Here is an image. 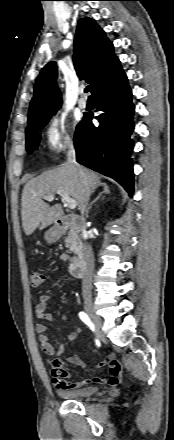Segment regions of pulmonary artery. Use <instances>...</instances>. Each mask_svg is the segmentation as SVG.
Returning a JSON list of instances; mask_svg holds the SVG:
<instances>
[{
  "label": "pulmonary artery",
  "mask_w": 174,
  "mask_h": 440,
  "mask_svg": "<svg viewBox=\"0 0 174 440\" xmlns=\"http://www.w3.org/2000/svg\"><path fill=\"white\" fill-rule=\"evenodd\" d=\"M77 105L79 108L84 109L87 107V101L84 98H79L77 101Z\"/></svg>",
  "instance_id": "1"
}]
</instances>
